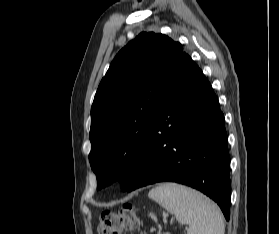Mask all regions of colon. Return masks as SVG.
Here are the masks:
<instances>
[{
    "label": "colon",
    "mask_w": 279,
    "mask_h": 234,
    "mask_svg": "<svg viewBox=\"0 0 279 234\" xmlns=\"http://www.w3.org/2000/svg\"><path fill=\"white\" fill-rule=\"evenodd\" d=\"M138 216L132 204H125L119 212L104 211L100 217L99 234H122L134 230Z\"/></svg>",
    "instance_id": "colon-1"
}]
</instances>
